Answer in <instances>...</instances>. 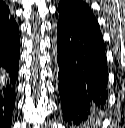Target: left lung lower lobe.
<instances>
[{
	"label": "left lung lower lobe",
	"mask_w": 125,
	"mask_h": 128,
	"mask_svg": "<svg viewBox=\"0 0 125 128\" xmlns=\"http://www.w3.org/2000/svg\"><path fill=\"white\" fill-rule=\"evenodd\" d=\"M59 94L66 122L86 128L108 97L105 45L100 31L58 21Z\"/></svg>",
	"instance_id": "left-lung-lower-lobe-1"
}]
</instances>
